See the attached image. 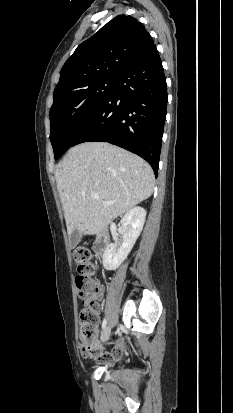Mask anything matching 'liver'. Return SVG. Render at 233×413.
<instances>
[{"mask_svg": "<svg viewBox=\"0 0 233 413\" xmlns=\"http://www.w3.org/2000/svg\"><path fill=\"white\" fill-rule=\"evenodd\" d=\"M55 179L69 236L74 230L99 234L113 219L149 198L155 184L145 160L107 142L72 147L59 163ZM94 193L99 199L93 198Z\"/></svg>", "mask_w": 233, "mask_h": 413, "instance_id": "6515ba94", "label": "liver"}]
</instances>
